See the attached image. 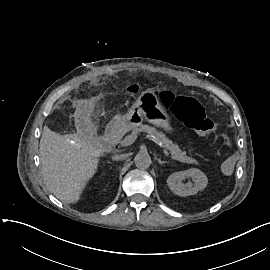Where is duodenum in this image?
Listing matches in <instances>:
<instances>
[{"label": "duodenum", "instance_id": "410a0bca", "mask_svg": "<svg viewBox=\"0 0 270 270\" xmlns=\"http://www.w3.org/2000/svg\"><path fill=\"white\" fill-rule=\"evenodd\" d=\"M125 126L126 124L123 120L111 122L106 129L104 142L110 147L116 146L124 134Z\"/></svg>", "mask_w": 270, "mask_h": 270}]
</instances>
